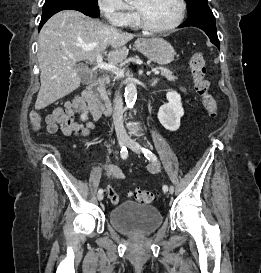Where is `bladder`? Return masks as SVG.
Segmentation results:
<instances>
[{"instance_id": "obj_1", "label": "bladder", "mask_w": 261, "mask_h": 273, "mask_svg": "<svg viewBox=\"0 0 261 273\" xmlns=\"http://www.w3.org/2000/svg\"><path fill=\"white\" fill-rule=\"evenodd\" d=\"M108 220L120 232L148 234L161 225L162 215L154 206L125 201L109 212Z\"/></svg>"}]
</instances>
